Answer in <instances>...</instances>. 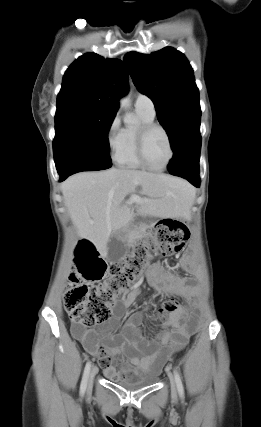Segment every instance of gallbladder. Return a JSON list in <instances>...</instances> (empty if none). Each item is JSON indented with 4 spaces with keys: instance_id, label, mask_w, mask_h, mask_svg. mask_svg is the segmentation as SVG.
Returning a JSON list of instances; mask_svg holds the SVG:
<instances>
[{
    "instance_id": "gallbladder-1",
    "label": "gallbladder",
    "mask_w": 261,
    "mask_h": 427,
    "mask_svg": "<svg viewBox=\"0 0 261 427\" xmlns=\"http://www.w3.org/2000/svg\"><path fill=\"white\" fill-rule=\"evenodd\" d=\"M127 251L125 243L117 236L112 234L107 242V259L110 262H121Z\"/></svg>"
}]
</instances>
